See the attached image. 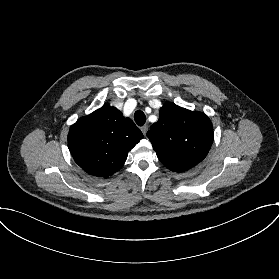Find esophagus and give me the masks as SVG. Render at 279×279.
Masks as SVG:
<instances>
[{
  "mask_svg": "<svg viewBox=\"0 0 279 279\" xmlns=\"http://www.w3.org/2000/svg\"><path fill=\"white\" fill-rule=\"evenodd\" d=\"M141 131L144 135H146L147 131H148V125H144L141 127Z\"/></svg>",
  "mask_w": 279,
  "mask_h": 279,
  "instance_id": "esophagus-1",
  "label": "esophagus"
}]
</instances>
